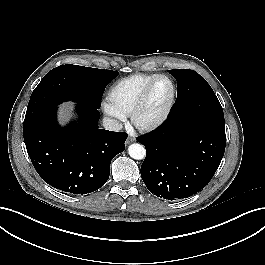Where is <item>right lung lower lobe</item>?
I'll use <instances>...</instances> for the list:
<instances>
[{"label": "right lung lower lobe", "instance_id": "1", "mask_svg": "<svg viewBox=\"0 0 265 265\" xmlns=\"http://www.w3.org/2000/svg\"><path fill=\"white\" fill-rule=\"evenodd\" d=\"M78 123L60 127L57 108L23 126L31 162L52 187L87 194L102 187L113 157L125 149L127 134L98 128V108L77 104Z\"/></svg>", "mask_w": 265, "mask_h": 265}]
</instances>
